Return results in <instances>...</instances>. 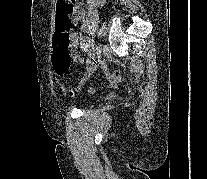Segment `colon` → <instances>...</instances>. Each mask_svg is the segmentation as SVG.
<instances>
[{
  "label": "colon",
  "mask_w": 207,
  "mask_h": 179,
  "mask_svg": "<svg viewBox=\"0 0 207 179\" xmlns=\"http://www.w3.org/2000/svg\"><path fill=\"white\" fill-rule=\"evenodd\" d=\"M74 2L75 0H59L56 7L52 63L56 75L60 78L66 76L71 67V51L69 46L72 38L69 32L72 28L71 15L74 11ZM105 77L106 84L109 86L125 80V77L118 71L107 72ZM94 91L92 88L89 89V92ZM69 94L72 95L73 91L69 90Z\"/></svg>",
  "instance_id": "colon-1"
}]
</instances>
